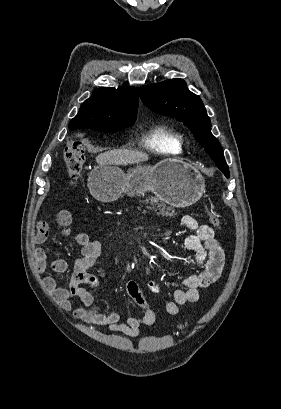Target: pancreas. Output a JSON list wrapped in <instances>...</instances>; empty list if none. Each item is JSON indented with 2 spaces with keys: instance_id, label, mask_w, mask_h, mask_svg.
<instances>
[{
  "instance_id": "obj_1",
  "label": "pancreas",
  "mask_w": 281,
  "mask_h": 409,
  "mask_svg": "<svg viewBox=\"0 0 281 409\" xmlns=\"http://www.w3.org/2000/svg\"><path fill=\"white\" fill-rule=\"evenodd\" d=\"M147 200H151V202H158L157 198H154V196H149ZM159 207H161V209H159L160 215H163V217H172V213H170V211H173V209H171V207H166V205H159Z\"/></svg>"
}]
</instances>
